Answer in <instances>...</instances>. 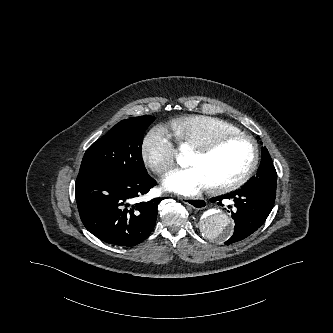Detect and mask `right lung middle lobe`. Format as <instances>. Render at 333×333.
Segmentation results:
<instances>
[{
  "label": "right lung middle lobe",
  "mask_w": 333,
  "mask_h": 333,
  "mask_svg": "<svg viewBox=\"0 0 333 333\" xmlns=\"http://www.w3.org/2000/svg\"><path fill=\"white\" fill-rule=\"evenodd\" d=\"M155 120L145 115L123 120L85 152L79 175L114 173L140 177L147 174L142 159L144 132Z\"/></svg>",
  "instance_id": "1"
}]
</instances>
